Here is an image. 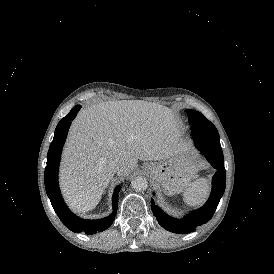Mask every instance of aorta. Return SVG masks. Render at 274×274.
Here are the masks:
<instances>
[{"label":"aorta","instance_id":"obj_1","mask_svg":"<svg viewBox=\"0 0 274 274\" xmlns=\"http://www.w3.org/2000/svg\"><path fill=\"white\" fill-rule=\"evenodd\" d=\"M131 186L135 191H144L148 187V182L145 177L143 176H137L134 177L131 181Z\"/></svg>","mask_w":274,"mask_h":274}]
</instances>
